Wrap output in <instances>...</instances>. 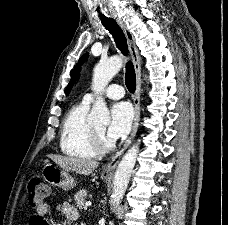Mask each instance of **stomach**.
I'll return each instance as SVG.
<instances>
[{
  "label": "stomach",
  "mask_w": 228,
  "mask_h": 225,
  "mask_svg": "<svg viewBox=\"0 0 228 225\" xmlns=\"http://www.w3.org/2000/svg\"><path fill=\"white\" fill-rule=\"evenodd\" d=\"M42 177L50 183V185H54V187H61L64 191H70V189H74L76 187V183L70 175V171H66V169H59L56 165H51V163H45L42 169ZM102 181L107 183L108 177H104L101 175Z\"/></svg>",
  "instance_id": "0dacf381"
}]
</instances>
